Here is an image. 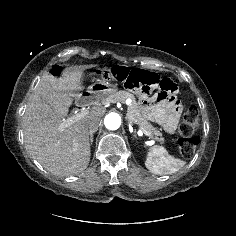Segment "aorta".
Wrapping results in <instances>:
<instances>
[{
    "label": "aorta",
    "instance_id": "aorta-1",
    "mask_svg": "<svg viewBox=\"0 0 236 236\" xmlns=\"http://www.w3.org/2000/svg\"><path fill=\"white\" fill-rule=\"evenodd\" d=\"M104 124L109 130H117L121 125V117L118 113H109L104 119Z\"/></svg>",
    "mask_w": 236,
    "mask_h": 236
}]
</instances>
